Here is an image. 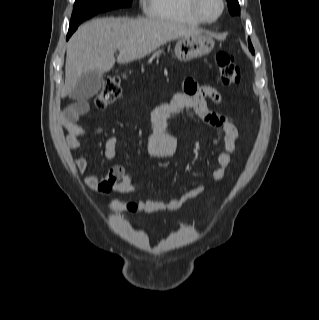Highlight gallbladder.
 <instances>
[{
    "mask_svg": "<svg viewBox=\"0 0 319 320\" xmlns=\"http://www.w3.org/2000/svg\"><path fill=\"white\" fill-rule=\"evenodd\" d=\"M103 84V77L97 71L83 74L78 80L69 97L74 100L85 101L96 95Z\"/></svg>",
    "mask_w": 319,
    "mask_h": 320,
    "instance_id": "obj_1",
    "label": "gallbladder"
}]
</instances>
